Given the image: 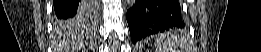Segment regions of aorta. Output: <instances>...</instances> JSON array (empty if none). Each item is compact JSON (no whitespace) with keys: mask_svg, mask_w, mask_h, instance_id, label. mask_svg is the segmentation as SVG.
Masks as SVG:
<instances>
[{"mask_svg":"<svg viewBox=\"0 0 261 52\" xmlns=\"http://www.w3.org/2000/svg\"><path fill=\"white\" fill-rule=\"evenodd\" d=\"M126 3L128 5V7H133V5H135L136 0H126Z\"/></svg>","mask_w":261,"mask_h":52,"instance_id":"aorta-1","label":"aorta"}]
</instances>
